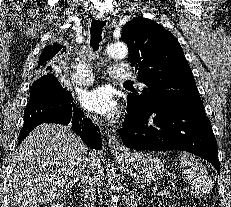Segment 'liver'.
Here are the masks:
<instances>
[{
	"label": "liver",
	"mask_w": 231,
	"mask_h": 207,
	"mask_svg": "<svg viewBox=\"0 0 231 207\" xmlns=\"http://www.w3.org/2000/svg\"><path fill=\"white\" fill-rule=\"evenodd\" d=\"M91 161L93 179L100 186L99 156ZM88 148L68 126L41 124L20 144L13 156L8 189L12 207H37L68 192L88 163Z\"/></svg>",
	"instance_id": "obj_1"
}]
</instances>
